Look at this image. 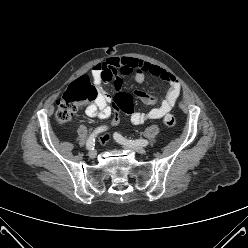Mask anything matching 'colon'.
<instances>
[{
	"label": "colon",
	"mask_w": 248,
	"mask_h": 248,
	"mask_svg": "<svg viewBox=\"0 0 248 248\" xmlns=\"http://www.w3.org/2000/svg\"><path fill=\"white\" fill-rule=\"evenodd\" d=\"M98 92L91 84L88 76L83 75L72 82L63 96L57 101V110L55 118L58 122L64 123L70 121L78 111L80 105L96 100ZM124 110L126 116H133L135 114V107L132 105V100L127 94H118L115 102V114L111 121L113 127L121 126L122 121L119 118V111ZM163 123L166 126H173L175 118L172 115H166L163 118ZM110 132L102 131L99 136V143L106 145L110 143Z\"/></svg>",
	"instance_id": "1"
}]
</instances>
